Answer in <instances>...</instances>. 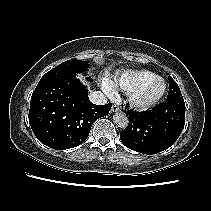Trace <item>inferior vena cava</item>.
Instances as JSON below:
<instances>
[{
    "label": "inferior vena cava",
    "mask_w": 211,
    "mask_h": 211,
    "mask_svg": "<svg viewBox=\"0 0 211 211\" xmlns=\"http://www.w3.org/2000/svg\"><path fill=\"white\" fill-rule=\"evenodd\" d=\"M89 99L93 104L96 105H105L107 103V98L101 91L90 93Z\"/></svg>",
    "instance_id": "1"
}]
</instances>
